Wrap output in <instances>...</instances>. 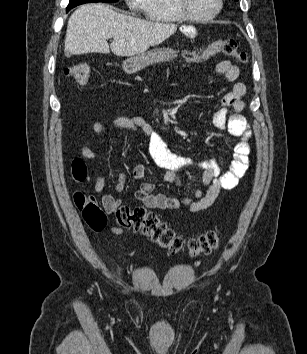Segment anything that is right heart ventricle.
Returning <instances> with one entry per match:
<instances>
[{
  "label": "right heart ventricle",
  "mask_w": 307,
  "mask_h": 354,
  "mask_svg": "<svg viewBox=\"0 0 307 354\" xmlns=\"http://www.w3.org/2000/svg\"><path fill=\"white\" fill-rule=\"evenodd\" d=\"M143 11L148 19L156 22H182L185 18L176 8L175 0H147Z\"/></svg>",
  "instance_id": "obj_1"
}]
</instances>
